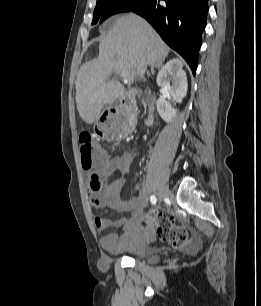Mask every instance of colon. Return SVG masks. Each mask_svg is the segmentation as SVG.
Instances as JSON below:
<instances>
[{"label":"colon","instance_id":"obj_1","mask_svg":"<svg viewBox=\"0 0 261 306\" xmlns=\"http://www.w3.org/2000/svg\"><path fill=\"white\" fill-rule=\"evenodd\" d=\"M135 111L133 108L124 109L121 115H116L112 124H105L103 122L98 124L96 132H84L79 137V153L81 158V165L84 170H91L96 163L101 162L106 153L103 150H95L93 140L96 137L104 135H113L121 137L125 134L126 129L134 121ZM92 192L94 195L101 188V179L97 174H93L91 182ZM149 216L153 220L156 228V233L159 239L165 243L172 244L175 248H183L188 243L187 231L181 230L183 228L177 227L173 224L171 218L162 212L151 211Z\"/></svg>","mask_w":261,"mask_h":306}]
</instances>
